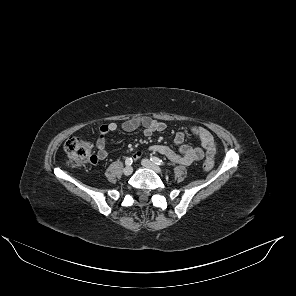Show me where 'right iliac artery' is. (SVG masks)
Listing matches in <instances>:
<instances>
[{
    "instance_id": "1",
    "label": "right iliac artery",
    "mask_w": 296,
    "mask_h": 296,
    "mask_svg": "<svg viewBox=\"0 0 296 296\" xmlns=\"http://www.w3.org/2000/svg\"><path fill=\"white\" fill-rule=\"evenodd\" d=\"M125 164L130 166L132 164V158L131 157H127L125 160Z\"/></svg>"
}]
</instances>
